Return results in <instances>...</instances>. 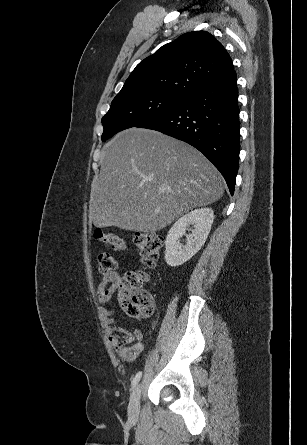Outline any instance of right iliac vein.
I'll list each match as a JSON object with an SVG mask.
<instances>
[{"mask_svg":"<svg viewBox=\"0 0 307 445\" xmlns=\"http://www.w3.org/2000/svg\"><path fill=\"white\" fill-rule=\"evenodd\" d=\"M140 396H141V385L137 384L130 396V402L128 406V414L131 420L137 419L140 412Z\"/></svg>","mask_w":307,"mask_h":445,"instance_id":"obj_1","label":"right iliac vein"}]
</instances>
